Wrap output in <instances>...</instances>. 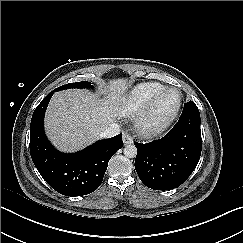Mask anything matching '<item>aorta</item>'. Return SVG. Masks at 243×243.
I'll use <instances>...</instances> for the list:
<instances>
[{"instance_id": "obj_1", "label": "aorta", "mask_w": 243, "mask_h": 243, "mask_svg": "<svg viewBox=\"0 0 243 243\" xmlns=\"http://www.w3.org/2000/svg\"><path fill=\"white\" fill-rule=\"evenodd\" d=\"M123 153L128 158H134L137 155V148L133 144L126 145L123 150Z\"/></svg>"}]
</instances>
